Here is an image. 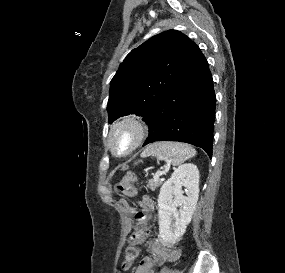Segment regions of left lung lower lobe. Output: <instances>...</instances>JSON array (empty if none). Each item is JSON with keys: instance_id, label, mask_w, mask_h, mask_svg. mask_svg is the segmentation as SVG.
<instances>
[{"instance_id": "0a47b994", "label": "left lung lower lobe", "mask_w": 285, "mask_h": 273, "mask_svg": "<svg viewBox=\"0 0 285 273\" xmlns=\"http://www.w3.org/2000/svg\"><path fill=\"white\" fill-rule=\"evenodd\" d=\"M215 104L207 60L192 42L181 73L144 119L149 137L143 146L162 140L186 142L201 147L211 158Z\"/></svg>"}]
</instances>
